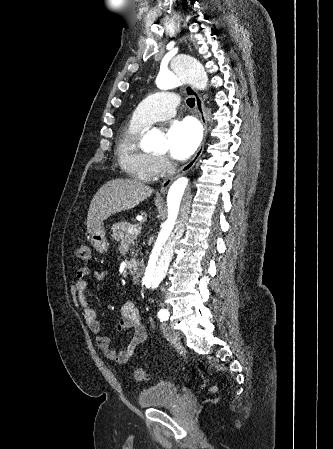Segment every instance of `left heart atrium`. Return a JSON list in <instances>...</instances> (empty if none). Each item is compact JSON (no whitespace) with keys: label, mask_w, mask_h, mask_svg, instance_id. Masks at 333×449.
<instances>
[{"label":"left heart atrium","mask_w":333,"mask_h":449,"mask_svg":"<svg viewBox=\"0 0 333 449\" xmlns=\"http://www.w3.org/2000/svg\"><path fill=\"white\" fill-rule=\"evenodd\" d=\"M167 138L171 157L182 161L197 149L201 141V130L192 119L174 121L167 131Z\"/></svg>","instance_id":"obj_1"}]
</instances>
